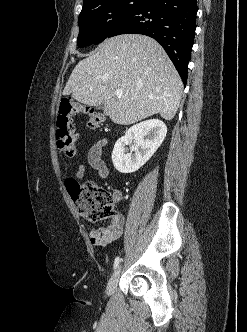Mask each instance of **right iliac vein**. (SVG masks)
Here are the masks:
<instances>
[{"mask_svg": "<svg viewBox=\"0 0 247 332\" xmlns=\"http://www.w3.org/2000/svg\"><path fill=\"white\" fill-rule=\"evenodd\" d=\"M120 272H121V266H118L107 284V293L108 294H112L113 291L115 290L118 280H119Z\"/></svg>", "mask_w": 247, "mask_h": 332, "instance_id": "right-iliac-vein-1", "label": "right iliac vein"}]
</instances>
